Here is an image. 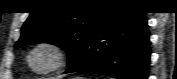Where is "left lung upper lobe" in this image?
Returning <instances> with one entry per match:
<instances>
[{
	"mask_svg": "<svg viewBox=\"0 0 177 79\" xmlns=\"http://www.w3.org/2000/svg\"><path fill=\"white\" fill-rule=\"evenodd\" d=\"M114 3L117 1L95 0L83 3L84 8L68 12H54L46 8L33 12L24 23L21 38L15 46L41 42L61 46L68 53L69 66L80 55L105 10Z\"/></svg>",
	"mask_w": 177,
	"mask_h": 79,
	"instance_id": "5c2ea615",
	"label": "left lung upper lobe"
}]
</instances>
